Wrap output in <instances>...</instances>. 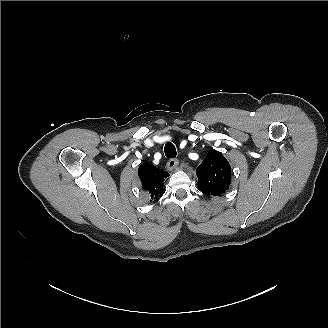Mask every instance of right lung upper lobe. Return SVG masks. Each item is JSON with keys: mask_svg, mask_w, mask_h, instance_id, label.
<instances>
[{"mask_svg": "<svg viewBox=\"0 0 328 328\" xmlns=\"http://www.w3.org/2000/svg\"><path fill=\"white\" fill-rule=\"evenodd\" d=\"M138 175L143 189L149 192L151 199L159 198L164 194L163 181L169 174L151 164H142L138 169Z\"/></svg>", "mask_w": 328, "mask_h": 328, "instance_id": "obj_1", "label": "right lung upper lobe"}]
</instances>
